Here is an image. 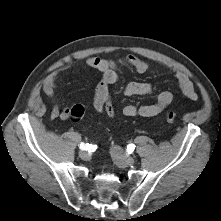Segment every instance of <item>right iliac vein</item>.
I'll list each match as a JSON object with an SVG mask.
<instances>
[{
	"label": "right iliac vein",
	"mask_w": 221,
	"mask_h": 221,
	"mask_svg": "<svg viewBox=\"0 0 221 221\" xmlns=\"http://www.w3.org/2000/svg\"><path fill=\"white\" fill-rule=\"evenodd\" d=\"M79 156L82 160H89V158H90L89 153L85 150L80 151Z\"/></svg>",
	"instance_id": "obj_1"
}]
</instances>
